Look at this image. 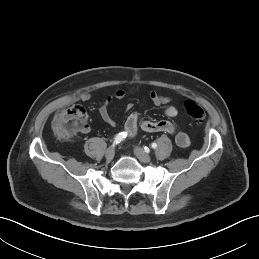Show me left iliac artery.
<instances>
[{
  "instance_id": "44dca946",
  "label": "left iliac artery",
  "mask_w": 259,
  "mask_h": 259,
  "mask_svg": "<svg viewBox=\"0 0 259 259\" xmlns=\"http://www.w3.org/2000/svg\"><path fill=\"white\" fill-rule=\"evenodd\" d=\"M151 146H152V148L155 149L157 147V144L154 142V143L151 144ZM145 149H147V148H145Z\"/></svg>"
}]
</instances>
